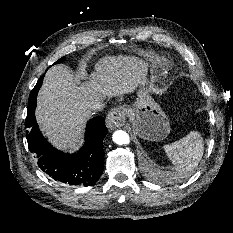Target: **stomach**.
<instances>
[{
  "mask_svg": "<svg viewBox=\"0 0 233 233\" xmlns=\"http://www.w3.org/2000/svg\"><path fill=\"white\" fill-rule=\"evenodd\" d=\"M125 112L130 117L134 130L140 138L160 141L170 133L167 116L146 88L138 92L136 100L127 106Z\"/></svg>",
  "mask_w": 233,
  "mask_h": 233,
  "instance_id": "1",
  "label": "stomach"
}]
</instances>
